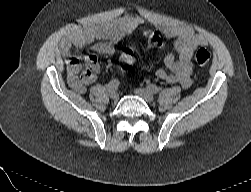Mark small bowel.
Listing matches in <instances>:
<instances>
[{
	"mask_svg": "<svg viewBox=\"0 0 251 192\" xmlns=\"http://www.w3.org/2000/svg\"><path fill=\"white\" fill-rule=\"evenodd\" d=\"M138 24L132 16H124L114 23H103L82 30H75L61 43L66 57L68 84L77 93L86 92L87 85L95 81L100 67L94 54L84 57L85 69L81 72L80 60L71 53L73 46L84 47L93 44L94 51L113 54L115 44L128 36ZM164 36L174 39L176 55L168 54L164 58L165 68H159L156 76L168 84L179 83L183 88L192 84L191 60L194 51L206 45V39L192 28L163 24L157 28Z\"/></svg>",
	"mask_w": 251,
	"mask_h": 192,
	"instance_id": "c3829d8e",
	"label": "small bowel"
}]
</instances>
